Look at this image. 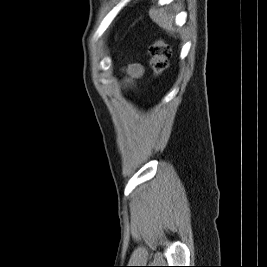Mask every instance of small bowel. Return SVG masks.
I'll return each instance as SVG.
<instances>
[{"mask_svg": "<svg viewBox=\"0 0 267 267\" xmlns=\"http://www.w3.org/2000/svg\"><path fill=\"white\" fill-rule=\"evenodd\" d=\"M126 72L129 76V79H128L129 81L131 79L140 77L143 74V67L142 65L137 64V63L131 64L126 68Z\"/></svg>", "mask_w": 267, "mask_h": 267, "instance_id": "1", "label": "small bowel"}]
</instances>
